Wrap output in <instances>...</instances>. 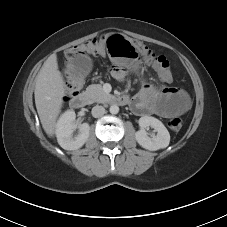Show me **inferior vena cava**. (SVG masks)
<instances>
[{"label":"inferior vena cava","mask_w":227,"mask_h":227,"mask_svg":"<svg viewBox=\"0 0 227 227\" xmlns=\"http://www.w3.org/2000/svg\"><path fill=\"white\" fill-rule=\"evenodd\" d=\"M105 108L103 106L96 105L92 108V116L95 118L101 117L105 114Z\"/></svg>","instance_id":"1"}]
</instances>
